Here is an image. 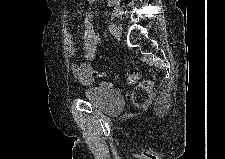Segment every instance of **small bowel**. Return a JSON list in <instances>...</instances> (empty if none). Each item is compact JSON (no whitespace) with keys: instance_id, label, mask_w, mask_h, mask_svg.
Instances as JSON below:
<instances>
[{"instance_id":"obj_1","label":"small bowel","mask_w":225,"mask_h":159,"mask_svg":"<svg viewBox=\"0 0 225 159\" xmlns=\"http://www.w3.org/2000/svg\"><path fill=\"white\" fill-rule=\"evenodd\" d=\"M93 2L94 0H89ZM100 39L95 31L94 25L91 20V16L87 15L85 19V30L82 43L81 57L84 61L73 60L71 62V72L75 78L81 83L88 84L94 78V68L92 61L97 58V47ZM67 53L70 57L76 55V47L73 43V37L71 34L66 36Z\"/></svg>"}]
</instances>
